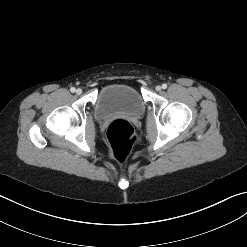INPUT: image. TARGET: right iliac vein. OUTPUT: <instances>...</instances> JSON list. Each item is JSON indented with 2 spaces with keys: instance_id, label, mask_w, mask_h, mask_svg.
Segmentation results:
<instances>
[{
  "instance_id": "right-iliac-vein-1",
  "label": "right iliac vein",
  "mask_w": 247,
  "mask_h": 247,
  "mask_svg": "<svg viewBox=\"0 0 247 247\" xmlns=\"http://www.w3.org/2000/svg\"><path fill=\"white\" fill-rule=\"evenodd\" d=\"M76 94H77V95L82 94V89L78 88V89L76 90Z\"/></svg>"
}]
</instances>
